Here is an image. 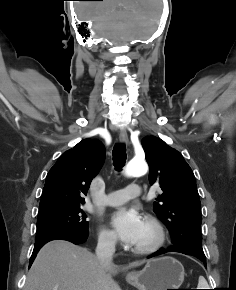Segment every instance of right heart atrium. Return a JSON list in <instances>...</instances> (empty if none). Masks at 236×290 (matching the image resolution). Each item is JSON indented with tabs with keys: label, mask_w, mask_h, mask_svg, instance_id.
<instances>
[{
	"label": "right heart atrium",
	"mask_w": 236,
	"mask_h": 290,
	"mask_svg": "<svg viewBox=\"0 0 236 290\" xmlns=\"http://www.w3.org/2000/svg\"><path fill=\"white\" fill-rule=\"evenodd\" d=\"M98 243L104 248H114L117 244V239L113 232L101 228L98 231Z\"/></svg>",
	"instance_id": "right-heart-atrium-1"
}]
</instances>
